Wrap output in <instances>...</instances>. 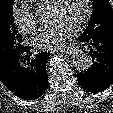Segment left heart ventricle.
Segmentation results:
<instances>
[{"instance_id":"left-heart-ventricle-1","label":"left heart ventricle","mask_w":113,"mask_h":113,"mask_svg":"<svg viewBox=\"0 0 113 113\" xmlns=\"http://www.w3.org/2000/svg\"><path fill=\"white\" fill-rule=\"evenodd\" d=\"M84 13V0H63L56 9L49 8L47 22L63 21L75 27Z\"/></svg>"}]
</instances>
